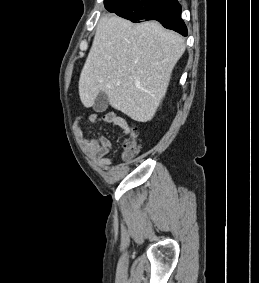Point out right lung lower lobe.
Masks as SVG:
<instances>
[{
    "mask_svg": "<svg viewBox=\"0 0 259 283\" xmlns=\"http://www.w3.org/2000/svg\"><path fill=\"white\" fill-rule=\"evenodd\" d=\"M105 8L118 16L137 22L142 19L159 21L165 28L187 36L177 0H104Z\"/></svg>",
    "mask_w": 259,
    "mask_h": 283,
    "instance_id": "right-lung-lower-lobe-1",
    "label": "right lung lower lobe"
}]
</instances>
